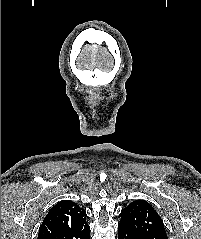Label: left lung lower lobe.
Returning <instances> with one entry per match:
<instances>
[{"label": "left lung lower lobe", "mask_w": 201, "mask_h": 239, "mask_svg": "<svg viewBox=\"0 0 201 239\" xmlns=\"http://www.w3.org/2000/svg\"><path fill=\"white\" fill-rule=\"evenodd\" d=\"M119 239H144L138 233L122 224L118 225Z\"/></svg>", "instance_id": "0a47b994"}]
</instances>
